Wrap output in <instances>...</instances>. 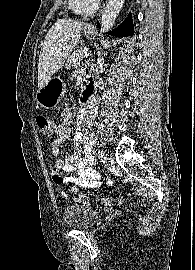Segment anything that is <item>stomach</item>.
<instances>
[{
	"label": "stomach",
	"instance_id": "stomach-1",
	"mask_svg": "<svg viewBox=\"0 0 195 270\" xmlns=\"http://www.w3.org/2000/svg\"><path fill=\"white\" fill-rule=\"evenodd\" d=\"M84 33L87 37L96 34L95 30L85 29ZM66 91V84L60 78H51L36 94V101L39 105L46 109L53 108L58 105Z\"/></svg>",
	"mask_w": 195,
	"mask_h": 270
}]
</instances>
